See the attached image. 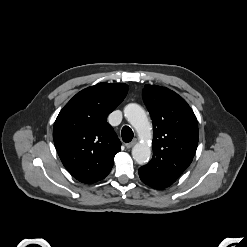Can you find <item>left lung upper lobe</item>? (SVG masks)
<instances>
[{"label": "left lung upper lobe", "mask_w": 247, "mask_h": 247, "mask_svg": "<svg viewBox=\"0 0 247 247\" xmlns=\"http://www.w3.org/2000/svg\"><path fill=\"white\" fill-rule=\"evenodd\" d=\"M142 96L153 122L154 154L139 171L168 187L195 155L199 137L197 119L187 102L165 87L145 85Z\"/></svg>", "instance_id": "5c2ea615"}]
</instances>
